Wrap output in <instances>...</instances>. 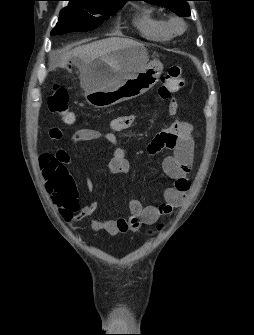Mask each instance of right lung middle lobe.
<instances>
[{"instance_id": "obj_1", "label": "right lung middle lobe", "mask_w": 254, "mask_h": 335, "mask_svg": "<svg viewBox=\"0 0 254 335\" xmlns=\"http://www.w3.org/2000/svg\"><path fill=\"white\" fill-rule=\"evenodd\" d=\"M68 1L70 2L61 10L58 23L51 35L93 30L124 5L87 0Z\"/></svg>"}]
</instances>
